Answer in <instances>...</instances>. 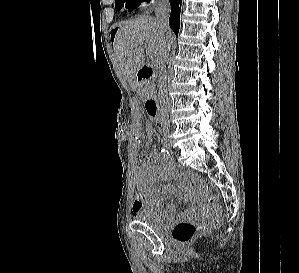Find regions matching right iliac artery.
Segmentation results:
<instances>
[{
  "label": "right iliac artery",
  "instance_id": "obj_1",
  "mask_svg": "<svg viewBox=\"0 0 299 273\" xmlns=\"http://www.w3.org/2000/svg\"><path fill=\"white\" fill-rule=\"evenodd\" d=\"M160 152H161V155L164 157V158H169L170 157V153L167 151V150H165L164 148H162L161 150H160Z\"/></svg>",
  "mask_w": 299,
  "mask_h": 273
}]
</instances>
